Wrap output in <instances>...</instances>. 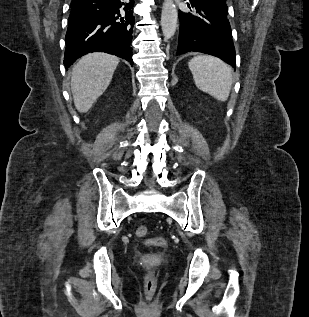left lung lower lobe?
<instances>
[{
	"mask_svg": "<svg viewBox=\"0 0 309 317\" xmlns=\"http://www.w3.org/2000/svg\"><path fill=\"white\" fill-rule=\"evenodd\" d=\"M192 12H179L180 32L176 55L202 52L235 68V48L227 8L188 4Z\"/></svg>",
	"mask_w": 309,
	"mask_h": 317,
	"instance_id": "0a47b994",
	"label": "left lung lower lobe"
}]
</instances>
